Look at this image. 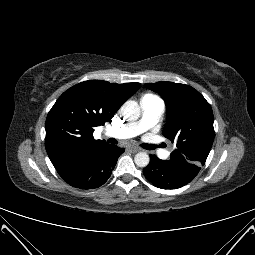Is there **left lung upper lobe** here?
I'll return each mask as SVG.
<instances>
[{
	"mask_svg": "<svg viewBox=\"0 0 255 255\" xmlns=\"http://www.w3.org/2000/svg\"><path fill=\"white\" fill-rule=\"evenodd\" d=\"M145 87L160 94L166 103L163 135L177 146L167 161L199 171L214 140L210 104L197 90L185 84L164 81L146 83Z\"/></svg>",
	"mask_w": 255,
	"mask_h": 255,
	"instance_id": "obj_1",
	"label": "left lung upper lobe"
}]
</instances>
